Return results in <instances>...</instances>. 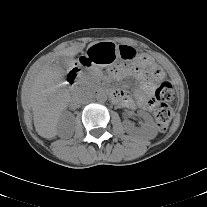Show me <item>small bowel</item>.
Segmentation results:
<instances>
[{"label": "small bowel", "mask_w": 207, "mask_h": 207, "mask_svg": "<svg viewBox=\"0 0 207 207\" xmlns=\"http://www.w3.org/2000/svg\"><path fill=\"white\" fill-rule=\"evenodd\" d=\"M127 74H133L139 83V91L136 94V98L134 100L127 93L118 90L115 91V100L127 108L138 106L146 110L152 109L154 106L152 94L156 84L164 78V72L161 70L159 75H152L141 68H132L130 70L116 68L111 71V76L117 80L122 79Z\"/></svg>", "instance_id": "c3829d8e"}]
</instances>
